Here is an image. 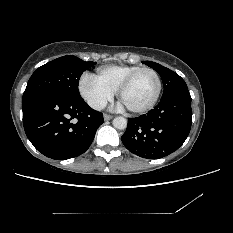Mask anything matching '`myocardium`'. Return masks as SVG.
Listing matches in <instances>:
<instances>
[{"label": "myocardium", "instance_id": "myocardium-1", "mask_svg": "<svg viewBox=\"0 0 233 233\" xmlns=\"http://www.w3.org/2000/svg\"><path fill=\"white\" fill-rule=\"evenodd\" d=\"M144 72H151L152 74H154V76L156 78V84H157L156 92H155V95L152 98V100L149 103H147L145 106L139 107V108L126 107V109L129 112L134 113V114L144 113V112L152 109L155 106V104L157 103V101L160 97V94H161V90H162V81H161V77H160L159 73L153 68H149V67L141 68V69L133 72L131 75H129L116 91L117 98L121 101L122 94L133 84V82L137 79V77L140 76Z\"/></svg>", "mask_w": 233, "mask_h": 233}]
</instances>
